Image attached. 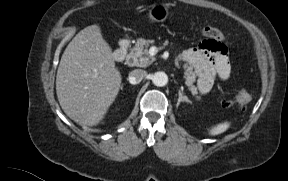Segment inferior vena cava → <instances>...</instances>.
<instances>
[{
  "label": "inferior vena cava",
  "mask_w": 288,
  "mask_h": 181,
  "mask_svg": "<svg viewBox=\"0 0 288 181\" xmlns=\"http://www.w3.org/2000/svg\"><path fill=\"white\" fill-rule=\"evenodd\" d=\"M146 76V71L141 69H135L129 74V82L131 84H137L142 81V79Z\"/></svg>",
  "instance_id": "602c4592"
}]
</instances>
